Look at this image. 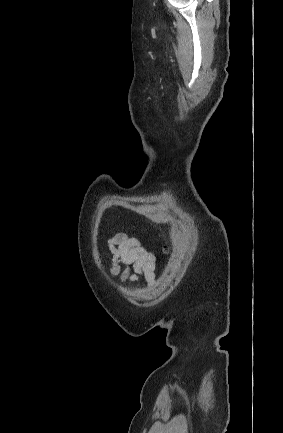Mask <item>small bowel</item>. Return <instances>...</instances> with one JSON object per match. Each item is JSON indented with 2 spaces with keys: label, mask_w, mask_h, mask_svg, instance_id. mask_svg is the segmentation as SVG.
Masks as SVG:
<instances>
[{
  "label": "small bowel",
  "mask_w": 283,
  "mask_h": 433,
  "mask_svg": "<svg viewBox=\"0 0 283 433\" xmlns=\"http://www.w3.org/2000/svg\"><path fill=\"white\" fill-rule=\"evenodd\" d=\"M112 256V275L121 274L124 281L138 282L144 279L152 285L155 278V256L133 237L116 234L109 241Z\"/></svg>",
  "instance_id": "small-bowel-1"
}]
</instances>
